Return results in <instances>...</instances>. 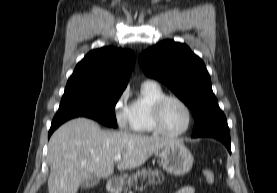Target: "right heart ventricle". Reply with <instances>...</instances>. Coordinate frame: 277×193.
Segmentation results:
<instances>
[{
    "label": "right heart ventricle",
    "mask_w": 277,
    "mask_h": 193,
    "mask_svg": "<svg viewBox=\"0 0 277 193\" xmlns=\"http://www.w3.org/2000/svg\"><path fill=\"white\" fill-rule=\"evenodd\" d=\"M164 95V90L155 82H144L141 85L139 95L128 106L130 128L133 132L156 133L152 120V108L154 103Z\"/></svg>",
    "instance_id": "obj_1"
}]
</instances>
